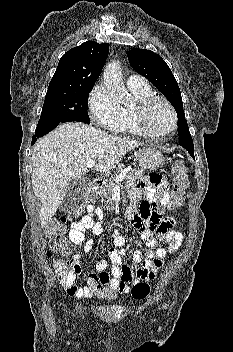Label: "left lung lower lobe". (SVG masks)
Instances as JSON below:
<instances>
[{
  "label": "left lung lower lobe",
  "mask_w": 233,
  "mask_h": 352,
  "mask_svg": "<svg viewBox=\"0 0 233 352\" xmlns=\"http://www.w3.org/2000/svg\"><path fill=\"white\" fill-rule=\"evenodd\" d=\"M189 154L194 158V150L188 149Z\"/></svg>",
  "instance_id": "obj_1"
}]
</instances>
